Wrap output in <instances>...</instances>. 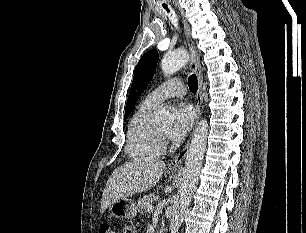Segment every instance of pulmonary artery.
I'll use <instances>...</instances> for the list:
<instances>
[{
  "label": "pulmonary artery",
  "mask_w": 306,
  "mask_h": 233,
  "mask_svg": "<svg viewBox=\"0 0 306 233\" xmlns=\"http://www.w3.org/2000/svg\"><path fill=\"white\" fill-rule=\"evenodd\" d=\"M185 93L184 85L179 79L173 78L151 91L145 98V101L153 105H159L168 98L181 97Z\"/></svg>",
  "instance_id": "obj_1"
}]
</instances>
